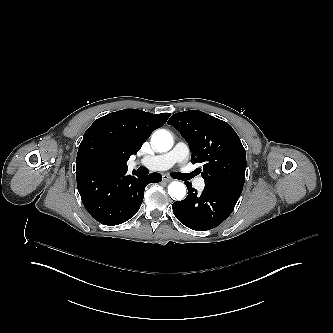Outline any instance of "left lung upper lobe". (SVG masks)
I'll return each instance as SVG.
<instances>
[{
	"instance_id": "obj_1",
	"label": "left lung upper lobe",
	"mask_w": 333,
	"mask_h": 333,
	"mask_svg": "<svg viewBox=\"0 0 333 333\" xmlns=\"http://www.w3.org/2000/svg\"><path fill=\"white\" fill-rule=\"evenodd\" d=\"M173 125L191 150V162L203 164L205 186L242 191L245 181L246 153L234 129L225 121L197 110L172 115ZM197 171L200 173L201 169Z\"/></svg>"
}]
</instances>
